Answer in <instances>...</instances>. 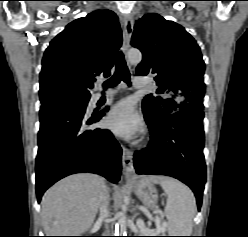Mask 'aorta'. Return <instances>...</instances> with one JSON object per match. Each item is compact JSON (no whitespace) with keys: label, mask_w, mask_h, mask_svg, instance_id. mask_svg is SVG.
<instances>
[{"label":"aorta","mask_w":248,"mask_h":237,"mask_svg":"<svg viewBox=\"0 0 248 237\" xmlns=\"http://www.w3.org/2000/svg\"><path fill=\"white\" fill-rule=\"evenodd\" d=\"M127 59L129 63L136 65L141 62L142 54L139 50H135V49L130 50L127 53ZM125 230H126V215L124 212H119V219L116 225V232L118 236H119V231H120V234L122 233L125 234Z\"/></svg>","instance_id":"762f6f07"}]
</instances>
